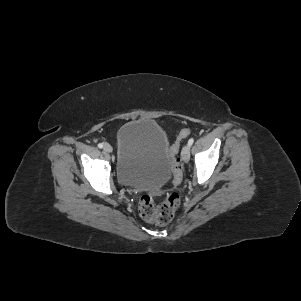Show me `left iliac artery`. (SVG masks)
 <instances>
[{
    "label": "left iliac artery",
    "instance_id": "44dca946",
    "mask_svg": "<svg viewBox=\"0 0 301 301\" xmlns=\"http://www.w3.org/2000/svg\"><path fill=\"white\" fill-rule=\"evenodd\" d=\"M193 143H194V139H193V138H190L189 141H188L189 147L192 146Z\"/></svg>",
    "mask_w": 301,
    "mask_h": 301
}]
</instances>
